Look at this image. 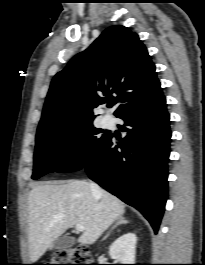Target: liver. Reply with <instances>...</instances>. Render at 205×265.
<instances>
[{"label":"liver","instance_id":"liver-1","mask_svg":"<svg viewBox=\"0 0 205 265\" xmlns=\"http://www.w3.org/2000/svg\"><path fill=\"white\" fill-rule=\"evenodd\" d=\"M28 242L36 262L68 228L84 226L81 244H93L125 213L118 198L84 180L53 181L32 188L28 196Z\"/></svg>","mask_w":205,"mask_h":265}]
</instances>
